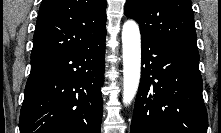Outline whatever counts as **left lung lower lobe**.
<instances>
[{
  "mask_svg": "<svg viewBox=\"0 0 221 133\" xmlns=\"http://www.w3.org/2000/svg\"><path fill=\"white\" fill-rule=\"evenodd\" d=\"M142 74L130 133H207L199 53L141 37Z\"/></svg>",
  "mask_w": 221,
  "mask_h": 133,
  "instance_id": "1",
  "label": "left lung lower lobe"
}]
</instances>
